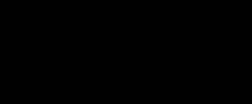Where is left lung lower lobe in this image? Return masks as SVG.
Instances as JSON below:
<instances>
[{
    "mask_svg": "<svg viewBox=\"0 0 252 104\" xmlns=\"http://www.w3.org/2000/svg\"><path fill=\"white\" fill-rule=\"evenodd\" d=\"M217 91L214 74L178 78L153 94L156 102L169 104L212 103Z\"/></svg>",
    "mask_w": 252,
    "mask_h": 104,
    "instance_id": "left-lung-lower-lobe-1",
    "label": "left lung lower lobe"
}]
</instances>
